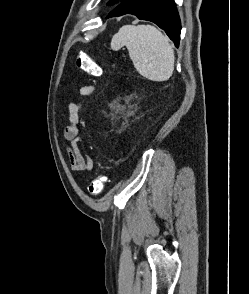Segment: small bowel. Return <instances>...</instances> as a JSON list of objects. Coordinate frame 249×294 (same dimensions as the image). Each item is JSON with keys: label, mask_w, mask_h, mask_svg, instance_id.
<instances>
[{"label": "small bowel", "mask_w": 249, "mask_h": 294, "mask_svg": "<svg viewBox=\"0 0 249 294\" xmlns=\"http://www.w3.org/2000/svg\"><path fill=\"white\" fill-rule=\"evenodd\" d=\"M94 86H83L79 90V94L83 97L90 96L94 92ZM70 124L63 130V139L71 143L66 148V153L70 167L75 172H90L93 169L94 162L92 157L86 152L83 139L79 136L78 123L80 121V113L82 104L80 102L67 103Z\"/></svg>", "instance_id": "1"}]
</instances>
